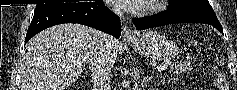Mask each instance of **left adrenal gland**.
<instances>
[{
	"label": "left adrenal gland",
	"instance_id": "1",
	"mask_svg": "<svg viewBox=\"0 0 237 90\" xmlns=\"http://www.w3.org/2000/svg\"><path fill=\"white\" fill-rule=\"evenodd\" d=\"M136 80H138V78H136ZM145 80H147V78H143V82H145Z\"/></svg>",
	"mask_w": 237,
	"mask_h": 90
}]
</instances>
